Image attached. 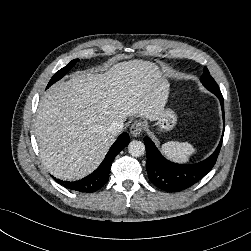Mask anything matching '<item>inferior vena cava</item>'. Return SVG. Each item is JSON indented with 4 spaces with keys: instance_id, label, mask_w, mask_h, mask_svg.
<instances>
[{
    "instance_id": "1",
    "label": "inferior vena cava",
    "mask_w": 251,
    "mask_h": 251,
    "mask_svg": "<svg viewBox=\"0 0 251 251\" xmlns=\"http://www.w3.org/2000/svg\"><path fill=\"white\" fill-rule=\"evenodd\" d=\"M124 127L123 122L121 121H113L110 126L108 127V131L114 135L119 134Z\"/></svg>"
}]
</instances>
